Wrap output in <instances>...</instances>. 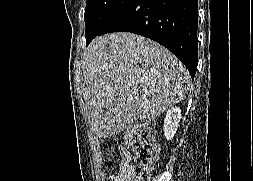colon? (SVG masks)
<instances>
[{"label": "colon", "instance_id": "1", "mask_svg": "<svg viewBox=\"0 0 253 181\" xmlns=\"http://www.w3.org/2000/svg\"><path fill=\"white\" fill-rule=\"evenodd\" d=\"M158 144L149 127L136 128L126 135L122 146L123 162L117 181H148L158 157Z\"/></svg>", "mask_w": 253, "mask_h": 181}]
</instances>
